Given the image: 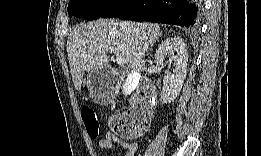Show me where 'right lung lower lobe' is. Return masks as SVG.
Masks as SVG:
<instances>
[{
  "mask_svg": "<svg viewBox=\"0 0 261 156\" xmlns=\"http://www.w3.org/2000/svg\"><path fill=\"white\" fill-rule=\"evenodd\" d=\"M200 8L199 0H119L101 17L194 27Z\"/></svg>",
  "mask_w": 261,
  "mask_h": 156,
  "instance_id": "obj_1",
  "label": "right lung lower lobe"
}]
</instances>
